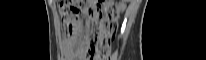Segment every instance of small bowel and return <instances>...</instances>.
<instances>
[{"label":"small bowel","mask_w":206,"mask_h":60,"mask_svg":"<svg viewBox=\"0 0 206 60\" xmlns=\"http://www.w3.org/2000/svg\"><path fill=\"white\" fill-rule=\"evenodd\" d=\"M65 56L69 60H74L78 56V52L74 49V41L72 38L67 39L65 44Z\"/></svg>","instance_id":"obj_1"}]
</instances>
